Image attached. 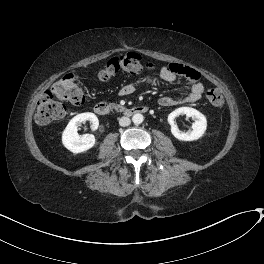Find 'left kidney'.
Masks as SVG:
<instances>
[{"label":"left kidney","mask_w":264,"mask_h":264,"mask_svg":"<svg viewBox=\"0 0 264 264\" xmlns=\"http://www.w3.org/2000/svg\"><path fill=\"white\" fill-rule=\"evenodd\" d=\"M179 115H186L192 118V130L188 132L180 131L175 124V118ZM168 123L171 125V132L175 138L182 141H193L203 136L207 128L206 117L198 110L191 107H180L168 115Z\"/></svg>","instance_id":"obj_1"}]
</instances>
